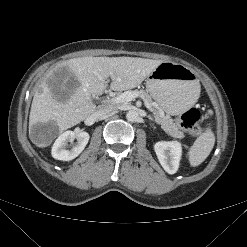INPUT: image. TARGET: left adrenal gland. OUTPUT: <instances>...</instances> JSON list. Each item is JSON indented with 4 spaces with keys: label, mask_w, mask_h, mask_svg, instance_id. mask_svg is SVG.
Here are the masks:
<instances>
[{
    "label": "left adrenal gland",
    "mask_w": 247,
    "mask_h": 247,
    "mask_svg": "<svg viewBox=\"0 0 247 247\" xmlns=\"http://www.w3.org/2000/svg\"><path fill=\"white\" fill-rule=\"evenodd\" d=\"M148 119L154 121V119L151 116H148Z\"/></svg>",
    "instance_id": "a2214340"
}]
</instances>
